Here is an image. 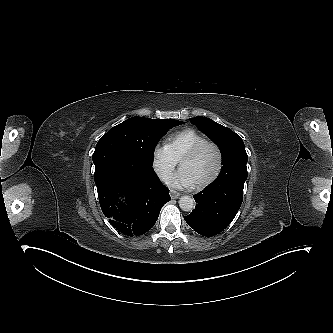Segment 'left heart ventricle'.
<instances>
[{"mask_svg": "<svg viewBox=\"0 0 333 333\" xmlns=\"http://www.w3.org/2000/svg\"><path fill=\"white\" fill-rule=\"evenodd\" d=\"M216 165V153L213 148L206 146L192 160L185 163L183 168L187 171L194 183L207 178Z\"/></svg>", "mask_w": 333, "mask_h": 333, "instance_id": "obj_1", "label": "left heart ventricle"}]
</instances>
